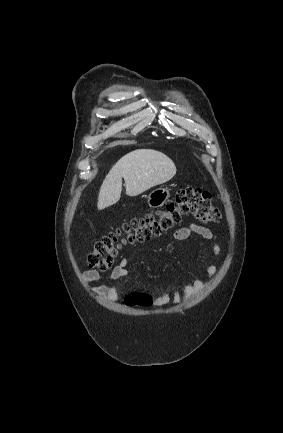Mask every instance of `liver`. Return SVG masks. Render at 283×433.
Returning <instances> with one entry per match:
<instances>
[{
  "mask_svg": "<svg viewBox=\"0 0 283 433\" xmlns=\"http://www.w3.org/2000/svg\"><path fill=\"white\" fill-rule=\"evenodd\" d=\"M176 174V166L164 152L137 148L119 158L106 174L99 190L97 208L118 202L125 180L126 194L136 196L151 186L167 182Z\"/></svg>",
  "mask_w": 283,
  "mask_h": 433,
  "instance_id": "obj_1",
  "label": "liver"
}]
</instances>
